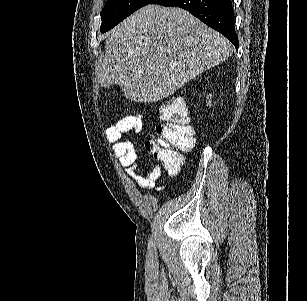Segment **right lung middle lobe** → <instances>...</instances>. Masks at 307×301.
<instances>
[{"instance_id": "obj_1", "label": "right lung middle lobe", "mask_w": 307, "mask_h": 301, "mask_svg": "<svg viewBox=\"0 0 307 301\" xmlns=\"http://www.w3.org/2000/svg\"><path fill=\"white\" fill-rule=\"evenodd\" d=\"M152 2L154 0H107L101 12L100 31L104 33L110 30L130 14Z\"/></svg>"}]
</instances>
